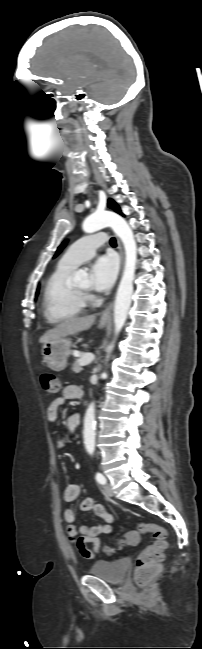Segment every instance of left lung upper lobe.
I'll return each instance as SVG.
<instances>
[{
  "mask_svg": "<svg viewBox=\"0 0 202 649\" xmlns=\"http://www.w3.org/2000/svg\"><path fill=\"white\" fill-rule=\"evenodd\" d=\"M108 207L111 208V209H113L115 212L121 214L120 207H119V206H118V205H117V204H116L112 199H109ZM65 245H66V241L63 242V243L59 246V248H58V250H57V252H56V254H55L54 257H56V256L61 252V250L63 249V247H64Z\"/></svg>",
  "mask_w": 202,
  "mask_h": 649,
  "instance_id": "1",
  "label": "left lung upper lobe"
}]
</instances>
